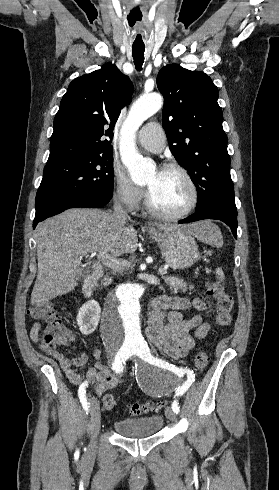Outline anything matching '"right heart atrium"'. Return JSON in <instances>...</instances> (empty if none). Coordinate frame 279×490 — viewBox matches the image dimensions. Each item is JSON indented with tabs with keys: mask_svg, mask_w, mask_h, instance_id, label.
Here are the masks:
<instances>
[{
	"mask_svg": "<svg viewBox=\"0 0 279 490\" xmlns=\"http://www.w3.org/2000/svg\"><path fill=\"white\" fill-rule=\"evenodd\" d=\"M111 179L116 199L131 211L139 209L145 198L144 190L135 185L118 165H113Z\"/></svg>",
	"mask_w": 279,
	"mask_h": 490,
	"instance_id": "1",
	"label": "right heart atrium"
}]
</instances>
